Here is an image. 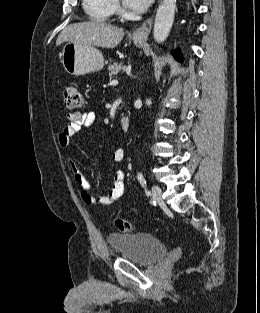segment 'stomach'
Instances as JSON below:
<instances>
[{
    "label": "stomach",
    "mask_w": 260,
    "mask_h": 313,
    "mask_svg": "<svg viewBox=\"0 0 260 313\" xmlns=\"http://www.w3.org/2000/svg\"><path fill=\"white\" fill-rule=\"evenodd\" d=\"M144 41L134 39L138 47ZM62 64L66 72L74 76H81L100 71L104 67L102 53L94 46L68 42L62 50Z\"/></svg>",
    "instance_id": "0dacf381"
}]
</instances>
